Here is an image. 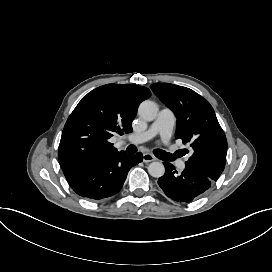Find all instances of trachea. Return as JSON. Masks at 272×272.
I'll use <instances>...</instances> for the list:
<instances>
[{
  "label": "trachea",
  "mask_w": 272,
  "mask_h": 272,
  "mask_svg": "<svg viewBox=\"0 0 272 272\" xmlns=\"http://www.w3.org/2000/svg\"><path fill=\"white\" fill-rule=\"evenodd\" d=\"M126 151L129 153V154H134L136 152V147L133 146V145H130L127 147ZM155 155L160 158V159H165L166 156H168L169 154H167L165 151L163 150H156L155 151Z\"/></svg>",
  "instance_id": "3493384b"
}]
</instances>
